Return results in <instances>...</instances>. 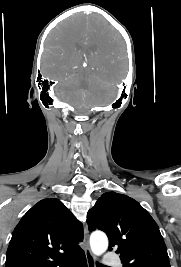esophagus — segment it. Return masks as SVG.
Masks as SVG:
<instances>
[{"label": "esophagus", "instance_id": "esophagus-1", "mask_svg": "<svg viewBox=\"0 0 181 267\" xmlns=\"http://www.w3.org/2000/svg\"><path fill=\"white\" fill-rule=\"evenodd\" d=\"M88 227L87 225H85L84 227V252H85V256H86V260H87V265L88 267H95V258L90 250L89 247V241H88Z\"/></svg>", "mask_w": 181, "mask_h": 267}]
</instances>
